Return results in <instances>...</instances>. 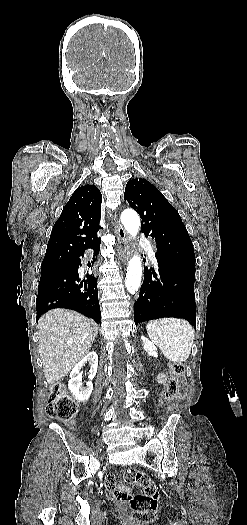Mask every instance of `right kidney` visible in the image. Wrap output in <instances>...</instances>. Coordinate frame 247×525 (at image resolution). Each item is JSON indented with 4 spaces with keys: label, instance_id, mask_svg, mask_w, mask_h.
Listing matches in <instances>:
<instances>
[{
    "label": "right kidney",
    "instance_id": "obj_1",
    "mask_svg": "<svg viewBox=\"0 0 247 525\" xmlns=\"http://www.w3.org/2000/svg\"><path fill=\"white\" fill-rule=\"evenodd\" d=\"M86 363H89L90 365V371H89V381L86 383V387H82V375L80 373L81 369L85 367ZM98 369V357L97 353H94V351H91V353H88L80 363H77L76 367L72 369L70 373V381H68V387L76 401L78 403H86L88 401L92 391H93V383L92 379H94Z\"/></svg>",
    "mask_w": 247,
    "mask_h": 525
}]
</instances>
